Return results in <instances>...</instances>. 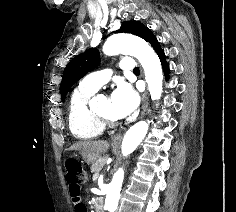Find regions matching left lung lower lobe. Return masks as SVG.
<instances>
[{
	"label": "left lung lower lobe",
	"instance_id": "1",
	"mask_svg": "<svg viewBox=\"0 0 236 212\" xmlns=\"http://www.w3.org/2000/svg\"><path fill=\"white\" fill-rule=\"evenodd\" d=\"M145 40L152 45V47L154 48V50L158 54V56L161 60L164 72H165V76H166V78H168V66L166 64L165 54L160 47V43L158 42V40L156 39V37L153 35L152 32H149V34L147 35Z\"/></svg>",
	"mask_w": 236,
	"mask_h": 212
}]
</instances>
